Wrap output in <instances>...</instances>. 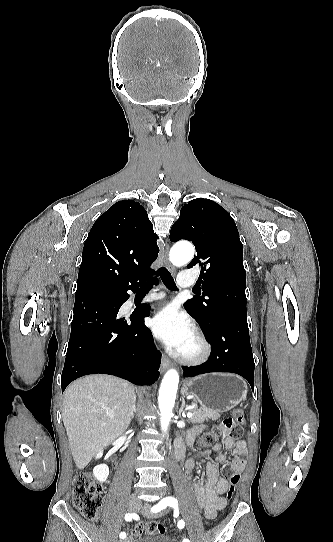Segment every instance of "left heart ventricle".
Here are the masks:
<instances>
[{"instance_id":"b2bd125f","label":"left heart ventricle","mask_w":333,"mask_h":542,"mask_svg":"<svg viewBox=\"0 0 333 542\" xmlns=\"http://www.w3.org/2000/svg\"><path fill=\"white\" fill-rule=\"evenodd\" d=\"M197 351V343L195 335H193L184 345L182 350L180 351V355H192L196 353Z\"/></svg>"}]
</instances>
